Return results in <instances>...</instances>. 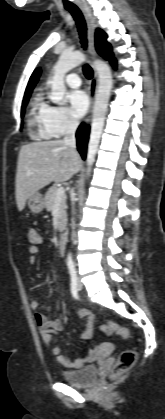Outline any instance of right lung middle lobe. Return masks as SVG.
Returning a JSON list of instances; mask_svg holds the SVG:
<instances>
[{
  "label": "right lung middle lobe",
  "instance_id": "right-lung-middle-lobe-1",
  "mask_svg": "<svg viewBox=\"0 0 165 419\" xmlns=\"http://www.w3.org/2000/svg\"><path fill=\"white\" fill-rule=\"evenodd\" d=\"M29 97H26L23 99V103H22V108H21V117L24 116V112H25V107L28 103Z\"/></svg>",
  "mask_w": 165,
  "mask_h": 419
}]
</instances>
